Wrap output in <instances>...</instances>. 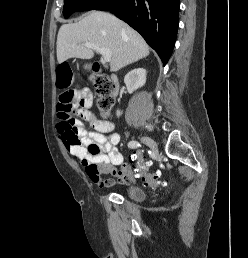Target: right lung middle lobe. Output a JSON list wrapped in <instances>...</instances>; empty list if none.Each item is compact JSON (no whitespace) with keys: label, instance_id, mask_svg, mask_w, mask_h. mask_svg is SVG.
<instances>
[{"label":"right lung middle lobe","instance_id":"obj_1","mask_svg":"<svg viewBox=\"0 0 248 258\" xmlns=\"http://www.w3.org/2000/svg\"><path fill=\"white\" fill-rule=\"evenodd\" d=\"M107 1L109 0H64L63 14L67 19L74 12L93 10Z\"/></svg>","mask_w":248,"mask_h":258}]
</instances>
